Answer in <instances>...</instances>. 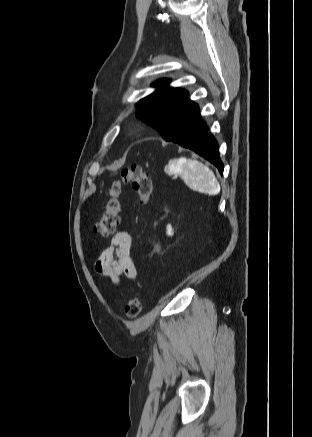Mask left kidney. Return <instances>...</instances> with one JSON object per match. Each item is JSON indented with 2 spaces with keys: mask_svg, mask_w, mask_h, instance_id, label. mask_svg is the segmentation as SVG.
Listing matches in <instances>:
<instances>
[{
  "mask_svg": "<svg viewBox=\"0 0 312 437\" xmlns=\"http://www.w3.org/2000/svg\"><path fill=\"white\" fill-rule=\"evenodd\" d=\"M167 234L168 235H172L173 234L171 225L167 226Z\"/></svg>",
  "mask_w": 312,
  "mask_h": 437,
  "instance_id": "5707ae66",
  "label": "left kidney"
}]
</instances>
